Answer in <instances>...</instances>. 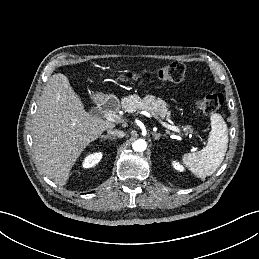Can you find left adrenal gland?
<instances>
[{
  "label": "left adrenal gland",
  "instance_id": "left-adrenal-gland-1",
  "mask_svg": "<svg viewBox=\"0 0 259 259\" xmlns=\"http://www.w3.org/2000/svg\"><path fill=\"white\" fill-rule=\"evenodd\" d=\"M152 135L154 136L155 140H159L161 136L166 137V134H160V133H155V132H152Z\"/></svg>",
  "mask_w": 259,
  "mask_h": 259
}]
</instances>
